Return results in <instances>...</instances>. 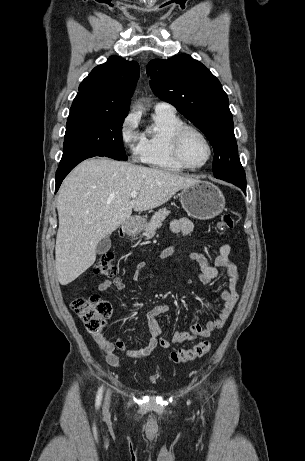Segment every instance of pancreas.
<instances>
[{
    "label": "pancreas",
    "instance_id": "1",
    "mask_svg": "<svg viewBox=\"0 0 305 461\" xmlns=\"http://www.w3.org/2000/svg\"><path fill=\"white\" fill-rule=\"evenodd\" d=\"M170 214V211L167 208H162L155 212L152 216L150 222L145 227L144 235L147 238L153 237L156 233V230L162 226L163 221Z\"/></svg>",
    "mask_w": 305,
    "mask_h": 461
}]
</instances>
